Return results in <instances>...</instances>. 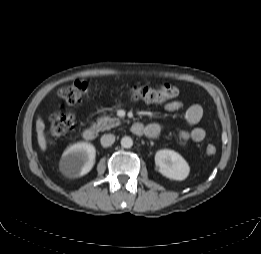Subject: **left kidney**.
I'll list each match as a JSON object with an SVG mask.
<instances>
[{
  "instance_id": "left-kidney-1",
  "label": "left kidney",
  "mask_w": 261,
  "mask_h": 254,
  "mask_svg": "<svg viewBox=\"0 0 261 254\" xmlns=\"http://www.w3.org/2000/svg\"><path fill=\"white\" fill-rule=\"evenodd\" d=\"M155 165L165 177L173 180H184L188 177L190 167L186 160L173 150H159L155 154Z\"/></svg>"
}]
</instances>
